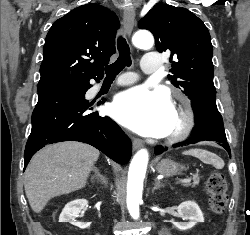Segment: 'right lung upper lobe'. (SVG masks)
<instances>
[{"instance_id": "1", "label": "right lung upper lobe", "mask_w": 250, "mask_h": 235, "mask_svg": "<svg viewBox=\"0 0 250 235\" xmlns=\"http://www.w3.org/2000/svg\"><path fill=\"white\" fill-rule=\"evenodd\" d=\"M119 26L114 13L95 3L56 20L46 36L37 91L103 77Z\"/></svg>"}]
</instances>
